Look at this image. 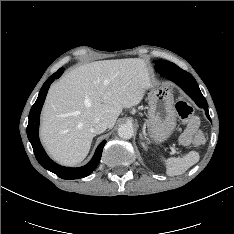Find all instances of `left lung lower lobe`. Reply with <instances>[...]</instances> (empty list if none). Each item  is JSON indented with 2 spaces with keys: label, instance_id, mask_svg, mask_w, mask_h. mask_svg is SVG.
<instances>
[{
  "label": "left lung lower lobe",
  "instance_id": "1",
  "mask_svg": "<svg viewBox=\"0 0 234 234\" xmlns=\"http://www.w3.org/2000/svg\"><path fill=\"white\" fill-rule=\"evenodd\" d=\"M163 77L178 84L195 102L200 108L205 109L206 116L210 119L208 104L206 99L202 95L196 80L194 77L184 70L177 73H166Z\"/></svg>",
  "mask_w": 234,
  "mask_h": 234
}]
</instances>
